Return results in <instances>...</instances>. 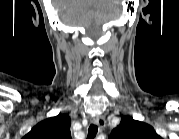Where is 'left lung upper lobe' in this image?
Masks as SVG:
<instances>
[{
	"label": "left lung upper lobe",
	"instance_id": "1",
	"mask_svg": "<svg viewBox=\"0 0 179 139\" xmlns=\"http://www.w3.org/2000/svg\"><path fill=\"white\" fill-rule=\"evenodd\" d=\"M150 125L124 116L120 124L111 132V139H158Z\"/></svg>",
	"mask_w": 179,
	"mask_h": 139
}]
</instances>
